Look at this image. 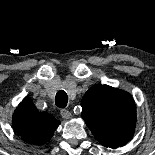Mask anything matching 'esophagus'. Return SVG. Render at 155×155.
Masks as SVG:
<instances>
[{"label": "esophagus", "mask_w": 155, "mask_h": 155, "mask_svg": "<svg viewBox=\"0 0 155 155\" xmlns=\"http://www.w3.org/2000/svg\"><path fill=\"white\" fill-rule=\"evenodd\" d=\"M60 114H61L62 118L66 119V120L71 118V114L69 113V111H67L65 109L61 110Z\"/></svg>", "instance_id": "obj_1"}]
</instances>
